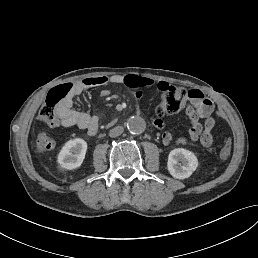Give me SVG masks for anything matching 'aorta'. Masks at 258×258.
Listing matches in <instances>:
<instances>
[{"instance_id": "aorta-1", "label": "aorta", "mask_w": 258, "mask_h": 258, "mask_svg": "<svg viewBox=\"0 0 258 258\" xmlns=\"http://www.w3.org/2000/svg\"><path fill=\"white\" fill-rule=\"evenodd\" d=\"M146 128V122L141 116H133L127 121V129L131 134H141Z\"/></svg>"}]
</instances>
